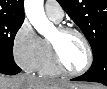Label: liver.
<instances>
[{"label": "liver", "mask_w": 107, "mask_h": 89, "mask_svg": "<svg viewBox=\"0 0 107 89\" xmlns=\"http://www.w3.org/2000/svg\"><path fill=\"white\" fill-rule=\"evenodd\" d=\"M68 86L79 89H105L101 85L72 84L49 80L31 74H19L12 77L0 76V89H61Z\"/></svg>", "instance_id": "liver-1"}]
</instances>
